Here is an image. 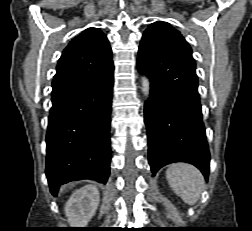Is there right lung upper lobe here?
<instances>
[{
  "mask_svg": "<svg viewBox=\"0 0 252 231\" xmlns=\"http://www.w3.org/2000/svg\"><path fill=\"white\" fill-rule=\"evenodd\" d=\"M114 70L108 39L98 28H88L72 39L60 57L52 82L51 100L99 80Z\"/></svg>",
  "mask_w": 252,
  "mask_h": 231,
  "instance_id": "obj_1",
  "label": "right lung upper lobe"
}]
</instances>
